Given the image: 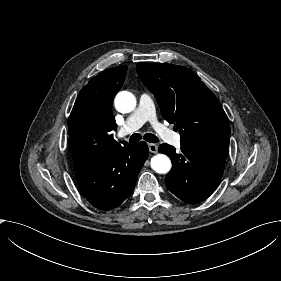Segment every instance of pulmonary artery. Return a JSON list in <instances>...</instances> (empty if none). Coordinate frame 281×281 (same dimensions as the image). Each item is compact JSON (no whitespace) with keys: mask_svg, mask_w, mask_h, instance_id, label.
Segmentation results:
<instances>
[{"mask_svg":"<svg viewBox=\"0 0 281 281\" xmlns=\"http://www.w3.org/2000/svg\"><path fill=\"white\" fill-rule=\"evenodd\" d=\"M150 100L149 95L143 94L140 97L139 105L134 112L129 115L124 125H122L117 132L118 139H122L125 136L131 134L136 129L140 128L146 121H150L158 130L170 131L165 126L159 124L156 120L155 113L144 109L145 103ZM172 142L175 146L180 145V135L173 133Z\"/></svg>","mask_w":281,"mask_h":281,"instance_id":"e3ab8cb5","label":"pulmonary artery"}]
</instances>
